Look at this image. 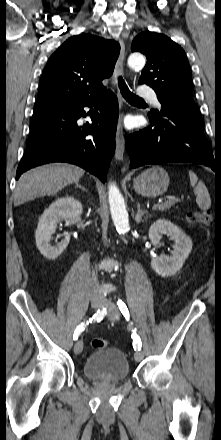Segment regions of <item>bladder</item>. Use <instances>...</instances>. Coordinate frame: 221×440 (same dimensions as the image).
<instances>
[{
	"instance_id": "bladder-1",
	"label": "bladder",
	"mask_w": 221,
	"mask_h": 440,
	"mask_svg": "<svg viewBox=\"0 0 221 440\" xmlns=\"http://www.w3.org/2000/svg\"><path fill=\"white\" fill-rule=\"evenodd\" d=\"M83 372L87 378L95 381L119 382L128 377L129 363L120 349H101L86 359Z\"/></svg>"
}]
</instances>
